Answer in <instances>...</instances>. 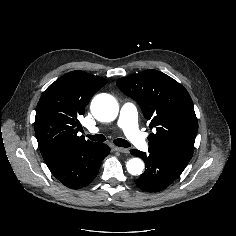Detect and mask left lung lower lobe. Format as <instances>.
I'll return each mask as SVG.
<instances>
[{
  "label": "left lung lower lobe",
  "mask_w": 236,
  "mask_h": 236,
  "mask_svg": "<svg viewBox=\"0 0 236 236\" xmlns=\"http://www.w3.org/2000/svg\"><path fill=\"white\" fill-rule=\"evenodd\" d=\"M131 154L140 157L146 163L144 173L135 182L140 189L147 192H159L167 188L186 167L151 148L149 155L139 150H132Z\"/></svg>",
  "instance_id": "0a47b994"
}]
</instances>
